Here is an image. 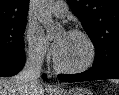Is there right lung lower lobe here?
I'll return each mask as SVG.
<instances>
[{
	"instance_id": "98d812e1",
	"label": "right lung lower lobe",
	"mask_w": 119,
	"mask_h": 95,
	"mask_svg": "<svg viewBox=\"0 0 119 95\" xmlns=\"http://www.w3.org/2000/svg\"><path fill=\"white\" fill-rule=\"evenodd\" d=\"M25 63V52L19 54H0V76H13L19 73ZM45 79L46 76L44 75Z\"/></svg>"
}]
</instances>
